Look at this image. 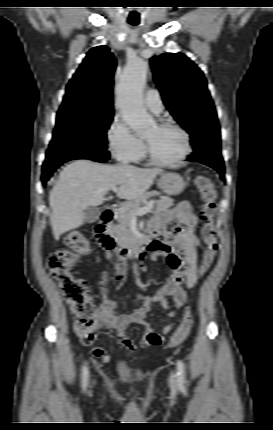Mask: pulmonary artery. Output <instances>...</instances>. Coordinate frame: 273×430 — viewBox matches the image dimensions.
I'll return each instance as SVG.
<instances>
[{"label": "pulmonary artery", "instance_id": "e3ab8cb5", "mask_svg": "<svg viewBox=\"0 0 273 430\" xmlns=\"http://www.w3.org/2000/svg\"><path fill=\"white\" fill-rule=\"evenodd\" d=\"M146 107L153 113L159 114L163 110V103L156 89H149L145 96Z\"/></svg>", "mask_w": 273, "mask_h": 430}]
</instances>
